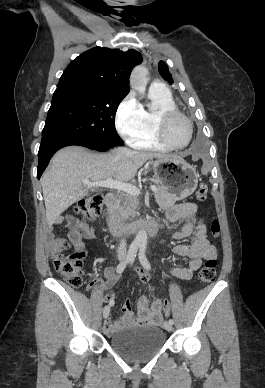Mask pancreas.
Masks as SVG:
<instances>
[{
  "mask_svg": "<svg viewBox=\"0 0 265 388\" xmlns=\"http://www.w3.org/2000/svg\"><path fill=\"white\" fill-rule=\"evenodd\" d=\"M155 202H157L158 206L162 208V210H167L169 206H173L175 204V196L173 194H169L164 190L163 186H157V192H154ZM139 206L138 198L135 196H131V194H123L122 198L117 200L114 210L121 216V218H128V216H136L139 214L136 208Z\"/></svg>",
  "mask_w": 265,
  "mask_h": 388,
  "instance_id": "pancreas-1",
  "label": "pancreas"
}]
</instances>
